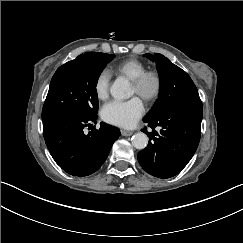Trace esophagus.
<instances>
[{
    "label": "esophagus",
    "mask_w": 243,
    "mask_h": 243,
    "mask_svg": "<svg viewBox=\"0 0 243 243\" xmlns=\"http://www.w3.org/2000/svg\"><path fill=\"white\" fill-rule=\"evenodd\" d=\"M121 134L123 136H131V135H133V132L132 131H127V130H121Z\"/></svg>",
    "instance_id": "34e87169"
}]
</instances>
